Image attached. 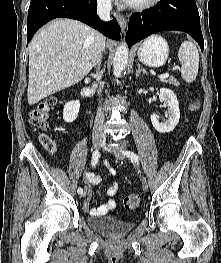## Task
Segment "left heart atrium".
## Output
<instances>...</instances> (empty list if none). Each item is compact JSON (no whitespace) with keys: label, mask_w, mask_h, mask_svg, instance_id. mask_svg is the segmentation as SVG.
<instances>
[{"label":"left heart atrium","mask_w":221,"mask_h":263,"mask_svg":"<svg viewBox=\"0 0 221 263\" xmlns=\"http://www.w3.org/2000/svg\"><path fill=\"white\" fill-rule=\"evenodd\" d=\"M121 1H123V2H125V3H128V4H131V3H133L135 0H121Z\"/></svg>","instance_id":"obj_1"}]
</instances>
